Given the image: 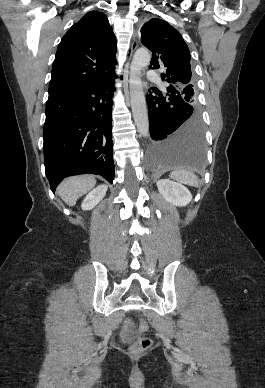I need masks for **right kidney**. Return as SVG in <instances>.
Instances as JSON below:
<instances>
[{"label":"right kidney","instance_id":"1","mask_svg":"<svg viewBox=\"0 0 265 388\" xmlns=\"http://www.w3.org/2000/svg\"><path fill=\"white\" fill-rule=\"evenodd\" d=\"M107 192V186H97V188H94L92 192H89L87 194L86 198H84L82 202V210H92V208H95L97 204H99L100 200H103L105 194Z\"/></svg>","mask_w":265,"mask_h":388}]
</instances>
